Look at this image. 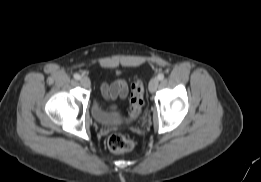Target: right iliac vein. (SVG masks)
<instances>
[{"mask_svg": "<svg viewBox=\"0 0 261 182\" xmlns=\"http://www.w3.org/2000/svg\"><path fill=\"white\" fill-rule=\"evenodd\" d=\"M80 83H81V85H82L83 87H85V88H89L90 85H91L90 79H89L88 77H82V78L80 79Z\"/></svg>", "mask_w": 261, "mask_h": 182, "instance_id": "right-iliac-vein-1", "label": "right iliac vein"}]
</instances>
